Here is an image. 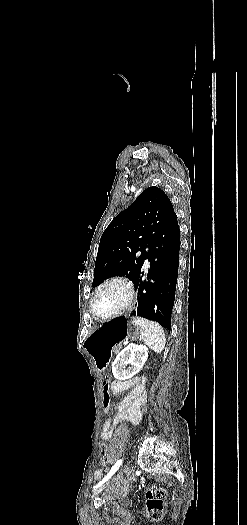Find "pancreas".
<instances>
[{
  "label": "pancreas",
  "instance_id": "cf45deb5",
  "mask_svg": "<svg viewBox=\"0 0 247 525\" xmlns=\"http://www.w3.org/2000/svg\"><path fill=\"white\" fill-rule=\"evenodd\" d=\"M112 351H113V355H117V353L121 351V348L119 346H114L112 348Z\"/></svg>",
  "mask_w": 247,
  "mask_h": 525
}]
</instances>
